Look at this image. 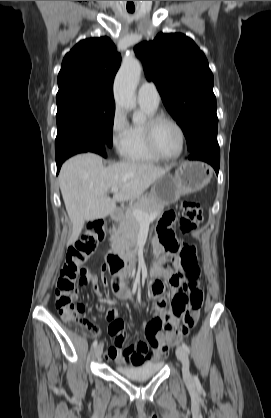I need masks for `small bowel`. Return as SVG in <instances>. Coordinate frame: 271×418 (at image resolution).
<instances>
[{"label":"small bowel","mask_w":271,"mask_h":418,"mask_svg":"<svg viewBox=\"0 0 271 418\" xmlns=\"http://www.w3.org/2000/svg\"><path fill=\"white\" fill-rule=\"evenodd\" d=\"M161 243L156 241V251L161 250ZM172 263L176 268H179V262L175 254L168 253L165 257L157 256L152 259L150 263L151 276L157 280L150 281V293L153 298V309L155 312L154 318L143 325L146 341H138L133 345L124 347L125 332L122 328V315L116 314L114 309H109L107 319L111 323L109 325V332L114 345L110 347L105 358L109 361H114L120 365L136 366L145 362H157L164 358L167 354V341L170 339L169 332L164 333L163 324L167 318H171L176 324L181 312L174 309L171 304L168 306L167 300L164 296L165 285L162 280H166V285L171 287L173 296L187 292L191 287L198 286L197 280L190 282L177 277V274L171 269ZM91 283L94 292L100 297L98 278L94 275H89L87 282ZM102 283L106 287L107 281L102 278ZM115 295L122 300L132 302L135 308L141 309L143 305L135 301L131 291L123 282L116 281L114 284Z\"/></svg>","instance_id":"obj_1"}]
</instances>
